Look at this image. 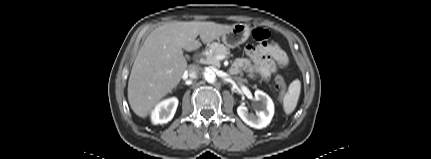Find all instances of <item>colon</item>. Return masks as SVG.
Wrapping results in <instances>:
<instances>
[{"label":"colon","mask_w":431,"mask_h":159,"mask_svg":"<svg viewBox=\"0 0 431 159\" xmlns=\"http://www.w3.org/2000/svg\"><path fill=\"white\" fill-rule=\"evenodd\" d=\"M253 38L262 44H269L270 39V33L268 30L263 28H256L252 32ZM275 85L278 91L279 98L282 99L285 92H286V81L282 76H277L275 78Z\"/></svg>","instance_id":"1"}]
</instances>
